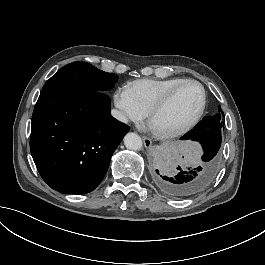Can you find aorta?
Instances as JSON below:
<instances>
[{
  "label": "aorta",
  "mask_w": 265,
  "mask_h": 265,
  "mask_svg": "<svg viewBox=\"0 0 265 265\" xmlns=\"http://www.w3.org/2000/svg\"><path fill=\"white\" fill-rule=\"evenodd\" d=\"M124 144L127 149L140 151L143 148L142 139L135 133H128L124 138Z\"/></svg>",
  "instance_id": "762f6f07"
}]
</instances>
